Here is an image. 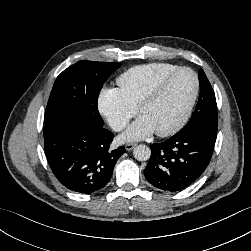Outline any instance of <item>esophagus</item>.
I'll return each instance as SVG.
<instances>
[{
	"instance_id": "1",
	"label": "esophagus",
	"mask_w": 251,
	"mask_h": 251,
	"mask_svg": "<svg viewBox=\"0 0 251 251\" xmlns=\"http://www.w3.org/2000/svg\"><path fill=\"white\" fill-rule=\"evenodd\" d=\"M135 145L136 144H134V143H128V144H126L125 148L127 151H130L135 147Z\"/></svg>"
}]
</instances>
